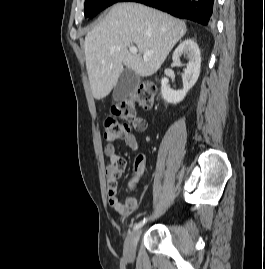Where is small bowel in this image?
Masks as SVG:
<instances>
[{"label":"small bowel","mask_w":265,"mask_h":269,"mask_svg":"<svg viewBox=\"0 0 265 269\" xmlns=\"http://www.w3.org/2000/svg\"><path fill=\"white\" fill-rule=\"evenodd\" d=\"M139 127L135 129L137 131H145L147 128L146 122L139 119ZM126 145L133 151L138 150V143L136 136L131 133L124 137ZM104 153L110 159V163L106 167V180L108 185V202L109 205L121 215H128L137 209L138 201L133 194H129L125 202H121L117 197V186L118 181L122 177L127 163L126 160L119 156L116 151V146L113 143H107L104 148ZM145 167L144 156L140 155L134 166L135 176L130 182V189L133 190L135 182L138 180L139 176L143 173Z\"/></svg>","instance_id":"c3829d8e"}]
</instances>
